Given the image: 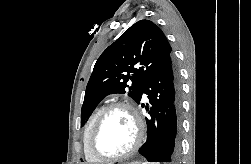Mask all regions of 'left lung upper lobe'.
<instances>
[{"label":"left lung upper lobe","mask_w":251,"mask_h":164,"mask_svg":"<svg viewBox=\"0 0 251 164\" xmlns=\"http://www.w3.org/2000/svg\"><path fill=\"white\" fill-rule=\"evenodd\" d=\"M171 51L164 33L153 22L140 20L133 24L98 58L86 87L81 123L109 94H124L129 88L128 95L139 103L146 80L171 56Z\"/></svg>","instance_id":"5c2ea615"}]
</instances>
